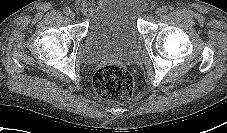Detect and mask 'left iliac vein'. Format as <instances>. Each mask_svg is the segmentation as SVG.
Segmentation results:
<instances>
[{"instance_id": "4c4485c4", "label": "left iliac vein", "mask_w": 227, "mask_h": 133, "mask_svg": "<svg viewBox=\"0 0 227 133\" xmlns=\"http://www.w3.org/2000/svg\"><path fill=\"white\" fill-rule=\"evenodd\" d=\"M155 13H156V15H161L162 13H163V8H157L156 10H155Z\"/></svg>"}]
</instances>
